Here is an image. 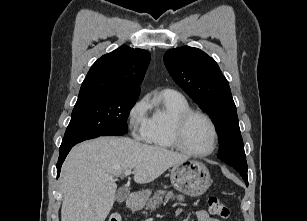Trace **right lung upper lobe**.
<instances>
[{
	"mask_svg": "<svg viewBox=\"0 0 307 221\" xmlns=\"http://www.w3.org/2000/svg\"><path fill=\"white\" fill-rule=\"evenodd\" d=\"M150 53L121 46L101 56L90 68L77 101L114 94H139Z\"/></svg>",
	"mask_w": 307,
	"mask_h": 221,
	"instance_id": "right-lung-upper-lobe-1",
	"label": "right lung upper lobe"
}]
</instances>
